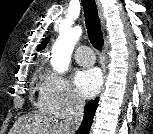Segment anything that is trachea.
<instances>
[{"instance_id":"obj_1","label":"trachea","mask_w":153,"mask_h":134,"mask_svg":"<svg viewBox=\"0 0 153 134\" xmlns=\"http://www.w3.org/2000/svg\"><path fill=\"white\" fill-rule=\"evenodd\" d=\"M82 2L89 40L95 49L102 50L104 40L95 0H82Z\"/></svg>"}]
</instances>
